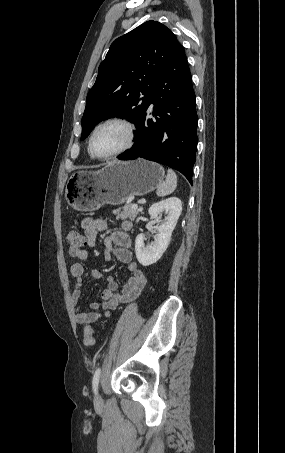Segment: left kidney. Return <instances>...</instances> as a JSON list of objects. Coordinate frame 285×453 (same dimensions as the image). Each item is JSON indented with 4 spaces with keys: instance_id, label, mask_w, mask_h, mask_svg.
Returning a JSON list of instances; mask_svg holds the SVG:
<instances>
[{
    "instance_id": "1",
    "label": "left kidney",
    "mask_w": 285,
    "mask_h": 453,
    "mask_svg": "<svg viewBox=\"0 0 285 453\" xmlns=\"http://www.w3.org/2000/svg\"><path fill=\"white\" fill-rule=\"evenodd\" d=\"M150 219L159 220L160 215L165 212L167 217L158 227V233L155 235L154 242L151 246H145L144 235L139 234L135 240V253L138 262L143 266H149L156 263L166 251L172 232L182 212V202L177 197H170L160 202L152 204L148 210Z\"/></svg>"
}]
</instances>
